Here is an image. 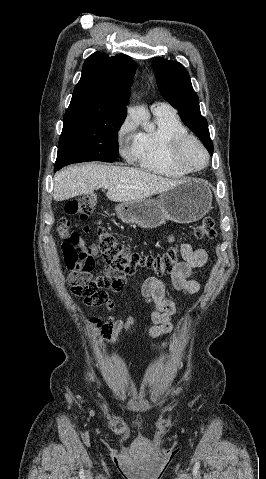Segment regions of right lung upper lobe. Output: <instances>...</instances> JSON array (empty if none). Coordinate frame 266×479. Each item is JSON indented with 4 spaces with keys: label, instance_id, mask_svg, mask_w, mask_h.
Masks as SVG:
<instances>
[{
    "label": "right lung upper lobe",
    "instance_id": "obj_1",
    "mask_svg": "<svg viewBox=\"0 0 266 479\" xmlns=\"http://www.w3.org/2000/svg\"><path fill=\"white\" fill-rule=\"evenodd\" d=\"M134 61L125 54L113 57L95 52L84 62L64 116L103 115L126 117Z\"/></svg>",
    "mask_w": 266,
    "mask_h": 479
}]
</instances>
